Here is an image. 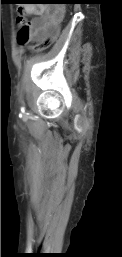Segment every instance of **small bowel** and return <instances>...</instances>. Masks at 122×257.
<instances>
[{
  "mask_svg": "<svg viewBox=\"0 0 122 257\" xmlns=\"http://www.w3.org/2000/svg\"><path fill=\"white\" fill-rule=\"evenodd\" d=\"M25 11L27 14L34 16L28 22V41L40 42L45 38H49L50 30H60L55 29L54 25L56 21H61L62 23L64 16H61L60 13L65 10L50 6L28 5L25 7Z\"/></svg>",
  "mask_w": 122,
  "mask_h": 257,
  "instance_id": "obj_1",
  "label": "small bowel"
}]
</instances>
